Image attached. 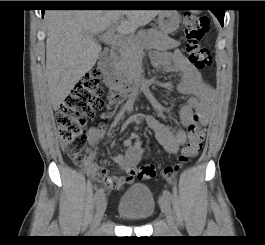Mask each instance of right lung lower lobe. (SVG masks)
I'll return each mask as SVG.
<instances>
[{
  "label": "right lung lower lobe",
  "instance_id": "98d812e1",
  "mask_svg": "<svg viewBox=\"0 0 265 245\" xmlns=\"http://www.w3.org/2000/svg\"><path fill=\"white\" fill-rule=\"evenodd\" d=\"M85 5H89V6H108V5H114L112 3H108V2H92L89 4H85ZM42 11V16L44 15L45 10H41Z\"/></svg>",
  "mask_w": 265,
  "mask_h": 245
}]
</instances>
